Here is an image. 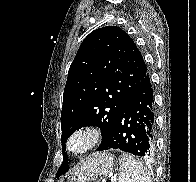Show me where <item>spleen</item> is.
<instances>
[{
	"label": "spleen",
	"mask_w": 196,
	"mask_h": 182,
	"mask_svg": "<svg viewBox=\"0 0 196 182\" xmlns=\"http://www.w3.org/2000/svg\"><path fill=\"white\" fill-rule=\"evenodd\" d=\"M119 164L118 182H152L146 169L132 155L122 153Z\"/></svg>",
	"instance_id": "1"
}]
</instances>
